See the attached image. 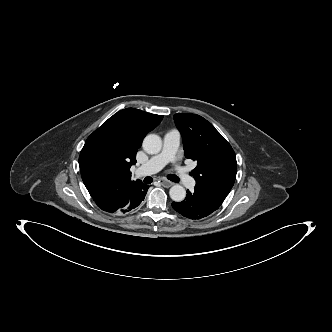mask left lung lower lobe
Instances as JSON below:
<instances>
[{"label":"left lung lower lobe","instance_id":"1","mask_svg":"<svg viewBox=\"0 0 332 332\" xmlns=\"http://www.w3.org/2000/svg\"><path fill=\"white\" fill-rule=\"evenodd\" d=\"M172 207L189 219H201L216 211L220 205L196 190H188L185 200L173 202Z\"/></svg>","mask_w":332,"mask_h":332}]
</instances>
